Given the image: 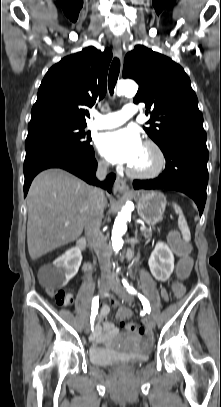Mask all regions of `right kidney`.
Instances as JSON below:
<instances>
[{
    "label": "right kidney",
    "mask_w": 221,
    "mask_h": 407,
    "mask_svg": "<svg viewBox=\"0 0 221 407\" xmlns=\"http://www.w3.org/2000/svg\"><path fill=\"white\" fill-rule=\"evenodd\" d=\"M82 262L81 250L78 247L70 248L64 255L53 262V281L59 287H64L78 272Z\"/></svg>",
    "instance_id": "ca27d5eb"
}]
</instances>
